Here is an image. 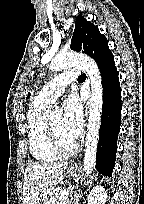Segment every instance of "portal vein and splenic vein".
<instances>
[{
	"instance_id": "portal-vein-and-splenic-vein-1",
	"label": "portal vein and splenic vein",
	"mask_w": 144,
	"mask_h": 204,
	"mask_svg": "<svg viewBox=\"0 0 144 204\" xmlns=\"http://www.w3.org/2000/svg\"><path fill=\"white\" fill-rule=\"evenodd\" d=\"M68 195H69V191L64 189L59 193V198H63V197L68 196Z\"/></svg>"
}]
</instances>
